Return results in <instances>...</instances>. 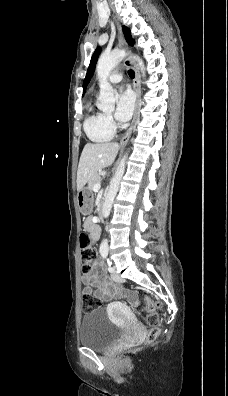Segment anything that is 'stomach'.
Masks as SVG:
<instances>
[{
  "instance_id": "0dacf381",
  "label": "stomach",
  "mask_w": 228,
  "mask_h": 396,
  "mask_svg": "<svg viewBox=\"0 0 228 396\" xmlns=\"http://www.w3.org/2000/svg\"><path fill=\"white\" fill-rule=\"evenodd\" d=\"M94 194L88 187H83L77 193V204L83 215H89L93 209Z\"/></svg>"
}]
</instances>
